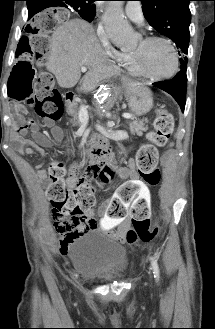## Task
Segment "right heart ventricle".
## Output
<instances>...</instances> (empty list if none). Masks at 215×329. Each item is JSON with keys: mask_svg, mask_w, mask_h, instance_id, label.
Wrapping results in <instances>:
<instances>
[{"mask_svg": "<svg viewBox=\"0 0 215 329\" xmlns=\"http://www.w3.org/2000/svg\"><path fill=\"white\" fill-rule=\"evenodd\" d=\"M119 61L127 68V70L133 74H136V71L132 64V52H122L120 54Z\"/></svg>", "mask_w": 215, "mask_h": 329, "instance_id": "right-heart-ventricle-1", "label": "right heart ventricle"}]
</instances>
